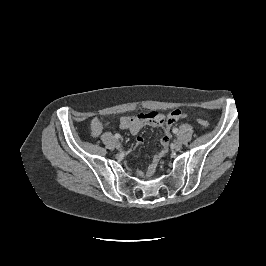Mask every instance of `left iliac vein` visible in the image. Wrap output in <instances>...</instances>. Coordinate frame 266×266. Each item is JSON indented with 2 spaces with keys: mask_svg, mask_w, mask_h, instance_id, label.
Listing matches in <instances>:
<instances>
[{
  "mask_svg": "<svg viewBox=\"0 0 266 266\" xmlns=\"http://www.w3.org/2000/svg\"><path fill=\"white\" fill-rule=\"evenodd\" d=\"M181 147H182V142L180 140H175L173 143V148L175 150H179V149H181Z\"/></svg>",
  "mask_w": 266,
  "mask_h": 266,
  "instance_id": "left-iliac-vein-1",
  "label": "left iliac vein"
}]
</instances>
